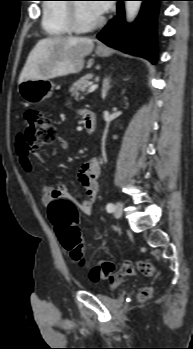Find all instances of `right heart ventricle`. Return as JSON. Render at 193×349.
<instances>
[{
  "instance_id": "obj_1",
  "label": "right heart ventricle",
  "mask_w": 193,
  "mask_h": 349,
  "mask_svg": "<svg viewBox=\"0 0 193 349\" xmlns=\"http://www.w3.org/2000/svg\"><path fill=\"white\" fill-rule=\"evenodd\" d=\"M66 0H47L42 10V28L51 38H61L71 34L66 19L67 5L65 3H52Z\"/></svg>"
}]
</instances>
